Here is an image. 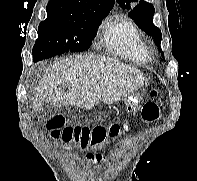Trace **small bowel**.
Wrapping results in <instances>:
<instances>
[{"mask_svg":"<svg viewBox=\"0 0 197 181\" xmlns=\"http://www.w3.org/2000/svg\"><path fill=\"white\" fill-rule=\"evenodd\" d=\"M101 159L102 158L100 155L89 154L87 161L90 163L99 164Z\"/></svg>","mask_w":197,"mask_h":181,"instance_id":"obj_1","label":"small bowel"}]
</instances>
